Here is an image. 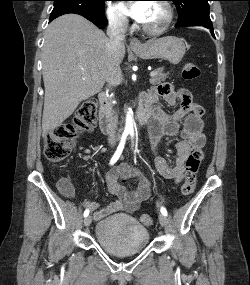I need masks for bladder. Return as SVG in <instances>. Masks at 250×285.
<instances>
[{
  "instance_id": "bladder-1",
  "label": "bladder",
  "mask_w": 250,
  "mask_h": 285,
  "mask_svg": "<svg viewBox=\"0 0 250 285\" xmlns=\"http://www.w3.org/2000/svg\"><path fill=\"white\" fill-rule=\"evenodd\" d=\"M95 237L105 251L117 256L138 253L149 241L147 229L128 215H115L100 221Z\"/></svg>"
}]
</instances>
